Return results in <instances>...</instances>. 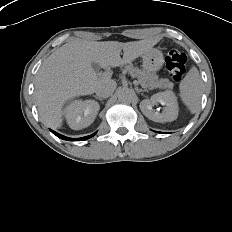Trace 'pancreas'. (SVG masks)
<instances>
[{"label":"pancreas","mask_w":232,"mask_h":232,"mask_svg":"<svg viewBox=\"0 0 232 232\" xmlns=\"http://www.w3.org/2000/svg\"><path fill=\"white\" fill-rule=\"evenodd\" d=\"M132 77H137L139 82L151 88H171L172 83L168 79H159L156 73L140 70L131 65L125 67Z\"/></svg>","instance_id":"pancreas-1"}]
</instances>
